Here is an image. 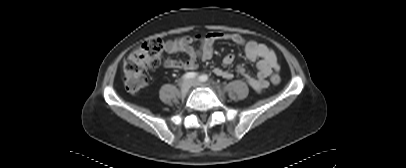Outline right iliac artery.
<instances>
[{"mask_svg":"<svg viewBox=\"0 0 406 168\" xmlns=\"http://www.w3.org/2000/svg\"><path fill=\"white\" fill-rule=\"evenodd\" d=\"M197 76V73L195 72H188L186 74L183 75V79H192L195 78Z\"/></svg>","mask_w":406,"mask_h":168,"instance_id":"1","label":"right iliac artery"}]
</instances>
